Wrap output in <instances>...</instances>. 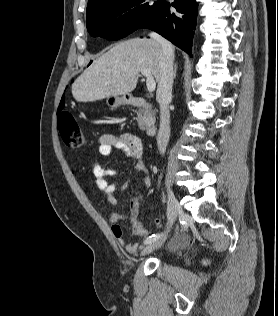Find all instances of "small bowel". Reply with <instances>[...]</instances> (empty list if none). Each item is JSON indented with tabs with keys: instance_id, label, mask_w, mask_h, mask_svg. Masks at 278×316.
Returning a JSON list of instances; mask_svg holds the SVG:
<instances>
[{
	"instance_id": "obj_1",
	"label": "small bowel",
	"mask_w": 278,
	"mask_h": 316,
	"mask_svg": "<svg viewBox=\"0 0 278 316\" xmlns=\"http://www.w3.org/2000/svg\"><path fill=\"white\" fill-rule=\"evenodd\" d=\"M98 152L102 156H109L113 150L120 151L125 157L134 159L136 161L134 170L143 172L142 181L144 185L149 188L151 186V178L149 170L145 163L141 160L143 153V143L141 139L132 134H123L120 136L113 134H103L98 140ZM92 171L96 179L97 187L102 191L103 195L107 198L109 204L113 207L119 205L115 196L117 183L111 182L110 179L115 177L116 172L109 165H101L98 162L92 164ZM139 207L140 202L137 198L131 200L130 214L126 216L119 212H112L109 216L111 223V231L116 242L125 248L128 253H134L138 249L137 244L126 243L123 230L119 222L129 218L132 222L133 233L137 236L146 237L151 231L146 228L139 220ZM154 224H158L159 220L155 219Z\"/></svg>"
}]
</instances>
